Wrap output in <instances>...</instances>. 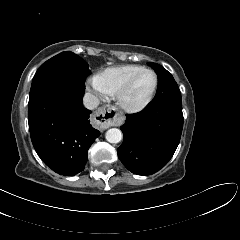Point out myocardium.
Listing matches in <instances>:
<instances>
[{
	"mask_svg": "<svg viewBox=\"0 0 240 240\" xmlns=\"http://www.w3.org/2000/svg\"><path fill=\"white\" fill-rule=\"evenodd\" d=\"M145 72H150L153 74L154 78H155V83H154V87L150 93V95L148 96V98L138 104V105H130L127 104L124 100V97L126 95V93L129 91V89L131 88V86L133 85V83L135 82V80L143 73ZM158 85H159V77L158 74L150 68H143L142 70H140L139 72L135 73L132 77H130L121 87L120 89L117 91L116 93V99L117 102L119 103V105L127 112L129 113H139L143 110H145L153 101L154 96L156 94V91L158 89Z\"/></svg>",
	"mask_w": 240,
	"mask_h": 240,
	"instance_id": "1",
	"label": "myocardium"
}]
</instances>
